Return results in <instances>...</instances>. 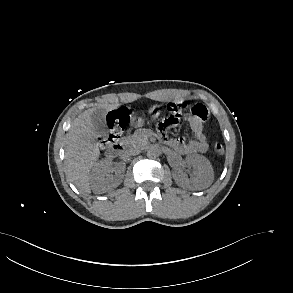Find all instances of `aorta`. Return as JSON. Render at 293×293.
Masks as SVG:
<instances>
[{"label":"aorta","mask_w":293,"mask_h":293,"mask_svg":"<svg viewBox=\"0 0 293 293\" xmlns=\"http://www.w3.org/2000/svg\"><path fill=\"white\" fill-rule=\"evenodd\" d=\"M159 155V152L156 148L154 147H150L148 150H147V157L150 158V159H154L156 157H158Z\"/></svg>","instance_id":"aorta-1"}]
</instances>
